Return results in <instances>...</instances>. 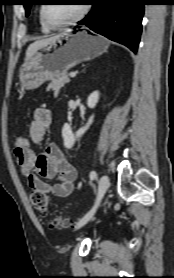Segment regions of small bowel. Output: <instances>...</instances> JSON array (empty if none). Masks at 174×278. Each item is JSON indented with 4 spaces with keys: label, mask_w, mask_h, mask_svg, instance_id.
<instances>
[{
    "label": "small bowel",
    "mask_w": 174,
    "mask_h": 278,
    "mask_svg": "<svg viewBox=\"0 0 174 278\" xmlns=\"http://www.w3.org/2000/svg\"><path fill=\"white\" fill-rule=\"evenodd\" d=\"M51 119L49 109L36 108L29 127L30 145L24 150L15 147L14 154L26 184L32 191L67 197L74 190L77 178L76 168L67 161L58 145L51 143L40 152H36L31 145V143L42 142ZM42 178H57L58 181L51 183Z\"/></svg>",
    "instance_id": "c3829d8e"
}]
</instances>
